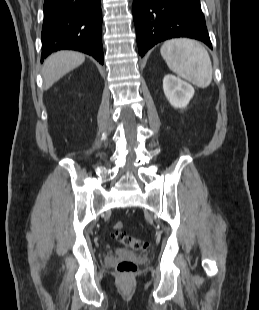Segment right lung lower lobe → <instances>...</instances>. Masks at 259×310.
<instances>
[{"instance_id":"right-lung-lower-lobe-1","label":"right lung lower lobe","mask_w":259,"mask_h":310,"mask_svg":"<svg viewBox=\"0 0 259 310\" xmlns=\"http://www.w3.org/2000/svg\"><path fill=\"white\" fill-rule=\"evenodd\" d=\"M41 62L51 53L70 49L104 63L101 0H45Z\"/></svg>"}]
</instances>
